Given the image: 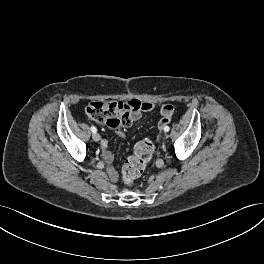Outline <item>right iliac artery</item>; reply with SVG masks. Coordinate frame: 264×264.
Wrapping results in <instances>:
<instances>
[{
  "label": "right iliac artery",
  "instance_id": "right-iliac-artery-1",
  "mask_svg": "<svg viewBox=\"0 0 264 264\" xmlns=\"http://www.w3.org/2000/svg\"><path fill=\"white\" fill-rule=\"evenodd\" d=\"M91 131H92V133H96V131H97L96 127L95 126H91Z\"/></svg>",
  "mask_w": 264,
  "mask_h": 264
}]
</instances>
